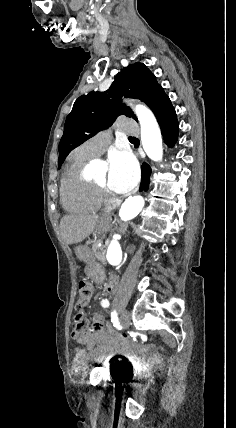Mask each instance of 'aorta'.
I'll return each instance as SVG.
<instances>
[{
	"mask_svg": "<svg viewBox=\"0 0 236 428\" xmlns=\"http://www.w3.org/2000/svg\"><path fill=\"white\" fill-rule=\"evenodd\" d=\"M140 127L141 141L147 156L153 161H161L163 157L162 136L157 120L150 109L143 105L134 107ZM145 201L142 196H133L126 199L119 210L123 221L135 218L143 209ZM120 235L115 234L107 247V261L113 266L120 265L122 261V247L119 243Z\"/></svg>",
	"mask_w": 236,
	"mask_h": 428,
	"instance_id": "aorta-1",
	"label": "aorta"
}]
</instances>
